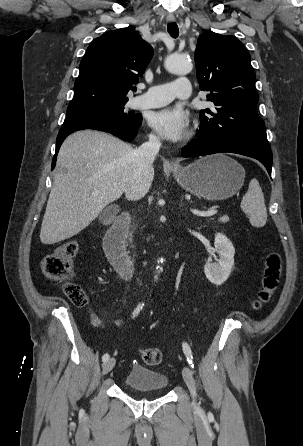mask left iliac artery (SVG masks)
Returning <instances> with one entry per match:
<instances>
[{
    "label": "left iliac artery",
    "instance_id": "obj_1",
    "mask_svg": "<svg viewBox=\"0 0 303 446\" xmlns=\"http://www.w3.org/2000/svg\"><path fill=\"white\" fill-rule=\"evenodd\" d=\"M182 347H183L184 354L187 358V362H188L189 366L193 369L194 363H193L192 351L186 342L183 343Z\"/></svg>",
    "mask_w": 303,
    "mask_h": 446
}]
</instances>
